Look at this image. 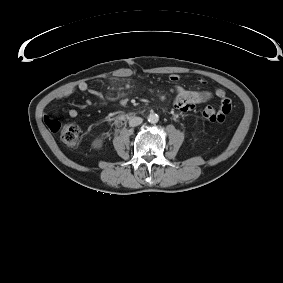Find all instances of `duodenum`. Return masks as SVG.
<instances>
[{
    "mask_svg": "<svg viewBox=\"0 0 283 283\" xmlns=\"http://www.w3.org/2000/svg\"><path fill=\"white\" fill-rule=\"evenodd\" d=\"M133 117H134V114L129 113V114L123 115L122 118H121V120H122V121H126V120H128V119L133 118Z\"/></svg>",
    "mask_w": 283,
    "mask_h": 283,
    "instance_id": "1",
    "label": "duodenum"
}]
</instances>
